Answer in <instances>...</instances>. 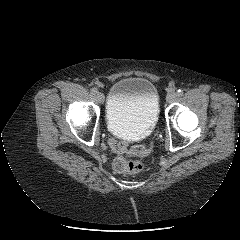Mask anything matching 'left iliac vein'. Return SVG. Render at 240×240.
<instances>
[{"instance_id":"obj_1","label":"left iliac vein","mask_w":240,"mask_h":240,"mask_svg":"<svg viewBox=\"0 0 240 240\" xmlns=\"http://www.w3.org/2000/svg\"><path fill=\"white\" fill-rule=\"evenodd\" d=\"M177 98V93L174 91H170L168 92L167 96H166V100L168 103H172L176 100Z\"/></svg>"}]
</instances>
